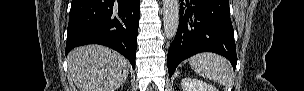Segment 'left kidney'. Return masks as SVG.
<instances>
[{"mask_svg": "<svg viewBox=\"0 0 304 91\" xmlns=\"http://www.w3.org/2000/svg\"><path fill=\"white\" fill-rule=\"evenodd\" d=\"M183 91H217L214 86L206 82L194 79L184 78L181 81Z\"/></svg>", "mask_w": 304, "mask_h": 91, "instance_id": "left-kidney-1", "label": "left kidney"}]
</instances>
